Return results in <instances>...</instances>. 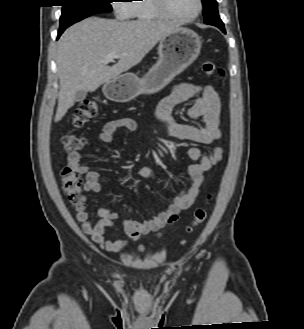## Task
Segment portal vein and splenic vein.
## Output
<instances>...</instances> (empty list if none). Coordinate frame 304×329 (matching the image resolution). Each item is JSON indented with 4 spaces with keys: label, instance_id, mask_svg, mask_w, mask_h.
Segmentation results:
<instances>
[{
    "label": "portal vein and splenic vein",
    "instance_id": "portal-vein-and-splenic-vein-1",
    "mask_svg": "<svg viewBox=\"0 0 304 329\" xmlns=\"http://www.w3.org/2000/svg\"><path fill=\"white\" fill-rule=\"evenodd\" d=\"M120 56L116 53H110L108 54L105 59H104V63H110V62H114V59L119 58Z\"/></svg>",
    "mask_w": 304,
    "mask_h": 329
}]
</instances>
